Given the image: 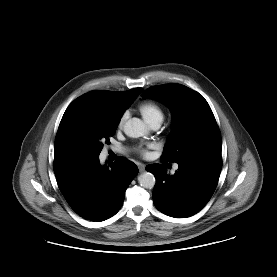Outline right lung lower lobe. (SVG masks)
<instances>
[{
	"instance_id": "obj_1",
	"label": "right lung lower lobe",
	"mask_w": 277,
	"mask_h": 277,
	"mask_svg": "<svg viewBox=\"0 0 277 277\" xmlns=\"http://www.w3.org/2000/svg\"><path fill=\"white\" fill-rule=\"evenodd\" d=\"M109 165L101 166L99 156L68 155L54 159L60 191L71 208L85 219L104 221L115 215L138 173L137 166L126 158H119L111 169Z\"/></svg>"
}]
</instances>
